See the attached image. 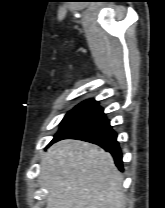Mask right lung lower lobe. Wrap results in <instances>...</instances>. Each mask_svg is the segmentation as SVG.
I'll return each mask as SVG.
<instances>
[{
  "mask_svg": "<svg viewBox=\"0 0 165 208\" xmlns=\"http://www.w3.org/2000/svg\"><path fill=\"white\" fill-rule=\"evenodd\" d=\"M62 139H78L99 145L112 154L116 166L123 171L122 153L117 142V134L110 126L101 107L93 108L90 113L80 118L50 144Z\"/></svg>",
  "mask_w": 165,
  "mask_h": 208,
  "instance_id": "right-lung-lower-lobe-1",
  "label": "right lung lower lobe"
}]
</instances>
